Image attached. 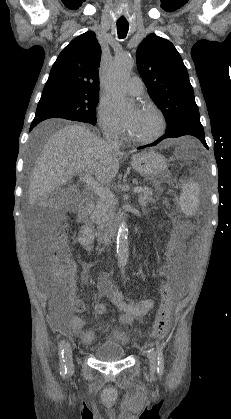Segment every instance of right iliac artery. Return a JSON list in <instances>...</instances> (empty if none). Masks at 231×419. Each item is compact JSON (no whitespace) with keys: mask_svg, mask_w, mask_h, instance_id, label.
<instances>
[{"mask_svg":"<svg viewBox=\"0 0 231 419\" xmlns=\"http://www.w3.org/2000/svg\"><path fill=\"white\" fill-rule=\"evenodd\" d=\"M64 347H65V340H62L59 343V358H60V374L63 377L67 373V368H66L65 359H64Z\"/></svg>","mask_w":231,"mask_h":419,"instance_id":"right-iliac-artery-1","label":"right iliac artery"}]
</instances>
